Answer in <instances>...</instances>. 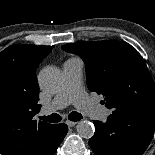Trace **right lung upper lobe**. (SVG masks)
<instances>
[{"label": "right lung upper lobe", "instance_id": "right-lung-upper-lobe-1", "mask_svg": "<svg viewBox=\"0 0 155 155\" xmlns=\"http://www.w3.org/2000/svg\"><path fill=\"white\" fill-rule=\"evenodd\" d=\"M54 46L16 44L0 53V153L44 155L55 125L37 122L40 111L36 69Z\"/></svg>", "mask_w": 155, "mask_h": 155}]
</instances>
